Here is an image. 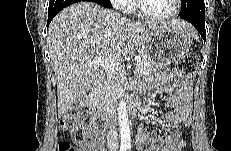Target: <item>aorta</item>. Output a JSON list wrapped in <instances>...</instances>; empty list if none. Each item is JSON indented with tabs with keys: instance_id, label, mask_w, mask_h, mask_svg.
I'll return each instance as SVG.
<instances>
[{
	"instance_id": "obj_1",
	"label": "aorta",
	"mask_w": 231,
	"mask_h": 151,
	"mask_svg": "<svg viewBox=\"0 0 231 151\" xmlns=\"http://www.w3.org/2000/svg\"><path fill=\"white\" fill-rule=\"evenodd\" d=\"M118 120L120 126L121 142L129 145L131 142L130 127L126 103L121 101L118 108Z\"/></svg>"
}]
</instances>
